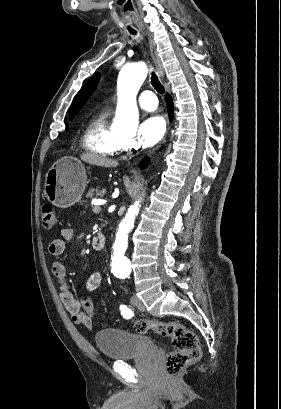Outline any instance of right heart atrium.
<instances>
[{
  "label": "right heart atrium",
  "mask_w": 281,
  "mask_h": 409,
  "mask_svg": "<svg viewBox=\"0 0 281 409\" xmlns=\"http://www.w3.org/2000/svg\"><path fill=\"white\" fill-rule=\"evenodd\" d=\"M129 146H130V147H134V143L130 142V143H129Z\"/></svg>",
  "instance_id": "obj_1"
}]
</instances>
